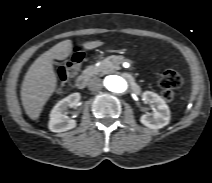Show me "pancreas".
<instances>
[{
	"label": "pancreas",
	"instance_id": "obj_1",
	"mask_svg": "<svg viewBox=\"0 0 212 183\" xmlns=\"http://www.w3.org/2000/svg\"><path fill=\"white\" fill-rule=\"evenodd\" d=\"M126 61L123 56H109L102 60L98 66H90L87 70L94 75L114 73L120 69L119 65Z\"/></svg>",
	"mask_w": 212,
	"mask_h": 183
}]
</instances>
